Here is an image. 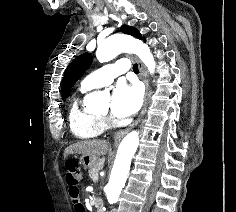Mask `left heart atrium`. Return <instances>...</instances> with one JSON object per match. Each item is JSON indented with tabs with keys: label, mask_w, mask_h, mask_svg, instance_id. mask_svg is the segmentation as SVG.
<instances>
[{
	"label": "left heart atrium",
	"mask_w": 236,
	"mask_h": 212,
	"mask_svg": "<svg viewBox=\"0 0 236 212\" xmlns=\"http://www.w3.org/2000/svg\"><path fill=\"white\" fill-rule=\"evenodd\" d=\"M142 101L143 93L138 85L120 84L112 94V114L119 118L132 116L139 110Z\"/></svg>",
	"instance_id": "39dd6f15"
}]
</instances>
